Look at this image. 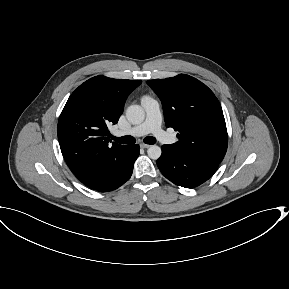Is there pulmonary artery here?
<instances>
[{
  "instance_id": "1",
  "label": "pulmonary artery",
  "mask_w": 289,
  "mask_h": 289,
  "mask_svg": "<svg viewBox=\"0 0 289 289\" xmlns=\"http://www.w3.org/2000/svg\"><path fill=\"white\" fill-rule=\"evenodd\" d=\"M141 105L146 113L145 120L127 131H116L115 135L143 136L151 133L162 143H174L176 141L175 137L162 128V114L159 103L151 97H143Z\"/></svg>"
}]
</instances>
